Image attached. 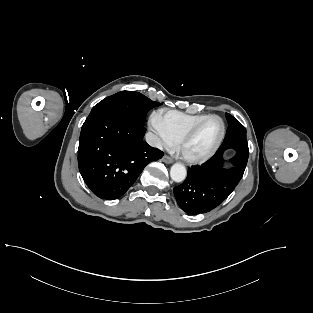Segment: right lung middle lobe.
Here are the masks:
<instances>
[{
    "label": "right lung middle lobe",
    "mask_w": 313,
    "mask_h": 313,
    "mask_svg": "<svg viewBox=\"0 0 313 313\" xmlns=\"http://www.w3.org/2000/svg\"><path fill=\"white\" fill-rule=\"evenodd\" d=\"M159 105L160 103L150 100L139 92L121 91L95 105L88 118L102 112H114L124 115L138 125L144 126L147 112Z\"/></svg>",
    "instance_id": "dd1d6c3e"
}]
</instances>
